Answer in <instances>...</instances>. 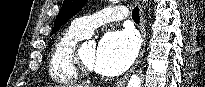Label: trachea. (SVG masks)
<instances>
[{"label":"trachea","mask_w":205,"mask_h":87,"mask_svg":"<svg viewBox=\"0 0 205 87\" xmlns=\"http://www.w3.org/2000/svg\"><path fill=\"white\" fill-rule=\"evenodd\" d=\"M132 18L135 22H139L140 21V16H139V9L138 7H135L132 11Z\"/></svg>","instance_id":"1"}]
</instances>
